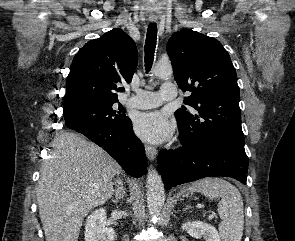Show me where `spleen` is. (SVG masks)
<instances>
[{
	"label": "spleen",
	"instance_id": "3e777b00",
	"mask_svg": "<svg viewBox=\"0 0 295 241\" xmlns=\"http://www.w3.org/2000/svg\"><path fill=\"white\" fill-rule=\"evenodd\" d=\"M192 192H200L209 199L221 198L218 213L221 218V241H241L244 226L243 200L238 189L222 178H205L192 183Z\"/></svg>",
	"mask_w": 295,
	"mask_h": 241
}]
</instances>
